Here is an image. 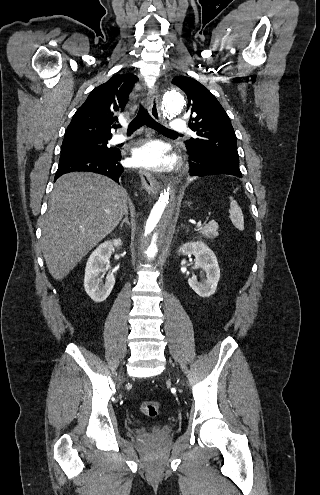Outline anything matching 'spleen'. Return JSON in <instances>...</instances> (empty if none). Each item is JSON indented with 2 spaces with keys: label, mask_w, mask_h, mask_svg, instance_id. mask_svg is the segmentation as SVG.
<instances>
[{
  "label": "spleen",
  "mask_w": 320,
  "mask_h": 495,
  "mask_svg": "<svg viewBox=\"0 0 320 495\" xmlns=\"http://www.w3.org/2000/svg\"><path fill=\"white\" fill-rule=\"evenodd\" d=\"M229 217L233 225L239 230L243 231L244 229V217L241 208L239 207L237 201H235L232 197H230V209H229Z\"/></svg>",
  "instance_id": "spleen-1"
}]
</instances>
